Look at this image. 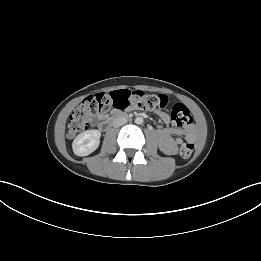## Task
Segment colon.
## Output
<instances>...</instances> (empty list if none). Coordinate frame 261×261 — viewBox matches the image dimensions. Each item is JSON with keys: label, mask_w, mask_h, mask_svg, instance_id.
I'll use <instances>...</instances> for the list:
<instances>
[{"label": "colon", "mask_w": 261, "mask_h": 261, "mask_svg": "<svg viewBox=\"0 0 261 261\" xmlns=\"http://www.w3.org/2000/svg\"><path fill=\"white\" fill-rule=\"evenodd\" d=\"M168 104L165 95L145 93L142 91L117 90L110 93H98L86 97L73 111L67 126V136L72 138L87 129L91 119L111 108L126 109L128 107L148 110H163ZM171 120L177 126H188L192 123L189 109L183 104H175L171 111ZM194 150L192 142L180 146V155L187 159Z\"/></svg>", "instance_id": "colon-1"}]
</instances>
